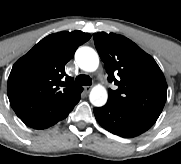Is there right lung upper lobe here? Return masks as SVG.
<instances>
[{"label": "right lung upper lobe", "instance_id": "1", "mask_svg": "<svg viewBox=\"0 0 181 164\" xmlns=\"http://www.w3.org/2000/svg\"><path fill=\"white\" fill-rule=\"evenodd\" d=\"M90 38L81 31L51 34L13 65L7 94L21 120L58 117L80 99L83 88L73 85L64 68L78 46Z\"/></svg>", "mask_w": 181, "mask_h": 164}]
</instances>
